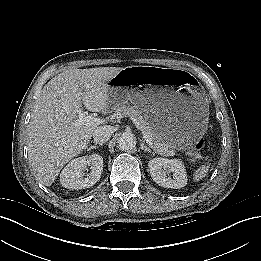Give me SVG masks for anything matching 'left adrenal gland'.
<instances>
[{
  "mask_svg": "<svg viewBox=\"0 0 261 261\" xmlns=\"http://www.w3.org/2000/svg\"><path fill=\"white\" fill-rule=\"evenodd\" d=\"M140 148H141V150H143V151H146V152H150V153H151V149H150L148 146L145 145V142H144V141L141 142Z\"/></svg>",
  "mask_w": 261,
  "mask_h": 261,
  "instance_id": "obj_1",
  "label": "left adrenal gland"
}]
</instances>
